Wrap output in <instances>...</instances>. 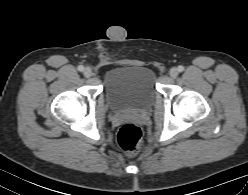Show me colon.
Listing matches in <instances>:
<instances>
[{
	"instance_id": "obj_1",
	"label": "colon",
	"mask_w": 248,
	"mask_h": 195,
	"mask_svg": "<svg viewBox=\"0 0 248 195\" xmlns=\"http://www.w3.org/2000/svg\"><path fill=\"white\" fill-rule=\"evenodd\" d=\"M117 142L126 154L136 155L143 147L141 129L133 123L124 124L118 131Z\"/></svg>"
}]
</instances>
